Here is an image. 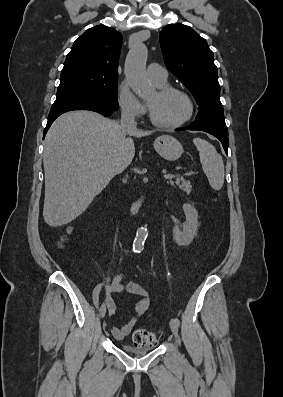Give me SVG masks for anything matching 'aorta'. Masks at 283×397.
Returning a JSON list of instances; mask_svg holds the SVG:
<instances>
[{
  "mask_svg": "<svg viewBox=\"0 0 283 397\" xmlns=\"http://www.w3.org/2000/svg\"><path fill=\"white\" fill-rule=\"evenodd\" d=\"M148 51L145 45L136 44L128 53L125 62V75L131 89L139 96L148 95L151 84L146 77V61ZM148 231L145 227L138 228L133 242V249L140 251L144 248Z\"/></svg>",
  "mask_w": 283,
  "mask_h": 397,
  "instance_id": "1",
  "label": "aorta"
}]
</instances>
